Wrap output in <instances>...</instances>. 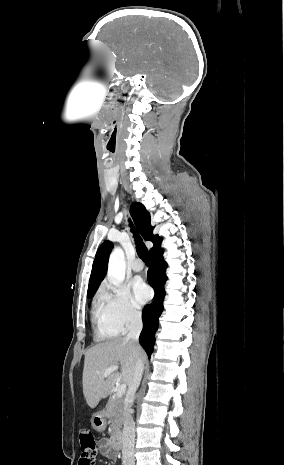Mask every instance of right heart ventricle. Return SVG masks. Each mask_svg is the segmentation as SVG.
<instances>
[{"instance_id": "obj_1", "label": "right heart ventricle", "mask_w": 284, "mask_h": 465, "mask_svg": "<svg viewBox=\"0 0 284 465\" xmlns=\"http://www.w3.org/2000/svg\"><path fill=\"white\" fill-rule=\"evenodd\" d=\"M91 326L96 341L117 338L123 332L114 322L104 304H94L91 314Z\"/></svg>"}]
</instances>
